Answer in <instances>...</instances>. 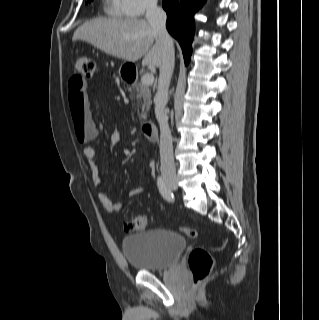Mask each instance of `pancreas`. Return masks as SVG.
Masks as SVG:
<instances>
[{"instance_id": "cf45deb5", "label": "pancreas", "mask_w": 319, "mask_h": 320, "mask_svg": "<svg viewBox=\"0 0 319 320\" xmlns=\"http://www.w3.org/2000/svg\"><path fill=\"white\" fill-rule=\"evenodd\" d=\"M130 98L137 101V105L142 108L141 118H147V112L151 107V91L147 85L141 82L135 81L130 87H128Z\"/></svg>"}]
</instances>
